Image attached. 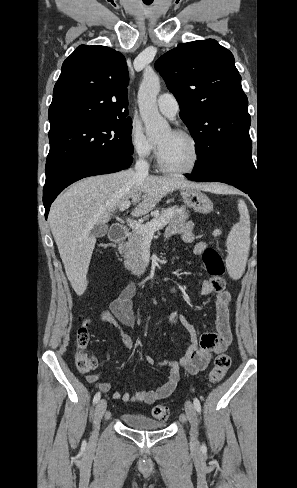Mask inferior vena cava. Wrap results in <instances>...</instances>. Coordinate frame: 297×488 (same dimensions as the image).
Returning a JSON list of instances; mask_svg holds the SVG:
<instances>
[{"mask_svg": "<svg viewBox=\"0 0 297 488\" xmlns=\"http://www.w3.org/2000/svg\"><path fill=\"white\" fill-rule=\"evenodd\" d=\"M135 172L141 177L148 176L149 164L144 158H139L135 164Z\"/></svg>", "mask_w": 297, "mask_h": 488, "instance_id": "obj_1", "label": "inferior vena cava"}]
</instances>
